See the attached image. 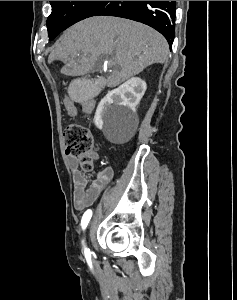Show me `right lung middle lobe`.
<instances>
[{
	"instance_id": "right-lung-middle-lobe-1",
	"label": "right lung middle lobe",
	"mask_w": 237,
	"mask_h": 300,
	"mask_svg": "<svg viewBox=\"0 0 237 300\" xmlns=\"http://www.w3.org/2000/svg\"><path fill=\"white\" fill-rule=\"evenodd\" d=\"M105 1H50L52 12L47 19L49 40L76 22L93 16Z\"/></svg>"
}]
</instances>
